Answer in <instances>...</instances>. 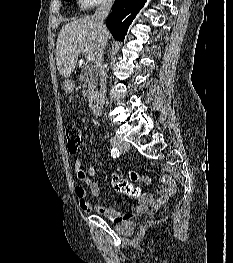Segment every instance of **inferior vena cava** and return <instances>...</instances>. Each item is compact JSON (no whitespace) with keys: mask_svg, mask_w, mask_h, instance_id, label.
Wrapping results in <instances>:
<instances>
[{"mask_svg":"<svg viewBox=\"0 0 233 263\" xmlns=\"http://www.w3.org/2000/svg\"><path fill=\"white\" fill-rule=\"evenodd\" d=\"M113 0L104 1L93 15V20L98 30V43L95 52L96 71L99 75V101L103 105L106 96V73L103 67V54L107 43L108 31L104 24L105 18L109 15Z\"/></svg>","mask_w":233,"mask_h":263,"instance_id":"obj_1","label":"inferior vena cava"}]
</instances>
